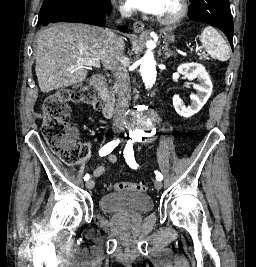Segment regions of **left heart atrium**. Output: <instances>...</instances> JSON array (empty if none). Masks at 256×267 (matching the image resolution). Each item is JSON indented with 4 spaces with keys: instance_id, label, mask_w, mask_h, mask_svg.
Wrapping results in <instances>:
<instances>
[{
    "instance_id": "obj_1",
    "label": "left heart atrium",
    "mask_w": 256,
    "mask_h": 267,
    "mask_svg": "<svg viewBox=\"0 0 256 267\" xmlns=\"http://www.w3.org/2000/svg\"><path fill=\"white\" fill-rule=\"evenodd\" d=\"M169 6L170 0H143L142 9L162 20Z\"/></svg>"
}]
</instances>
